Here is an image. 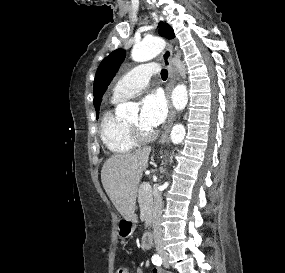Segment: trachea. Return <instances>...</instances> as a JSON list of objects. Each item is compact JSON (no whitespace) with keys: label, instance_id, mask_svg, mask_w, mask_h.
<instances>
[{"label":"trachea","instance_id":"3493384b","mask_svg":"<svg viewBox=\"0 0 285 273\" xmlns=\"http://www.w3.org/2000/svg\"><path fill=\"white\" fill-rule=\"evenodd\" d=\"M161 77L163 80H166L168 77V71L166 69L161 70Z\"/></svg>","mask_w":285,"mask_h":273}]
</instances>
